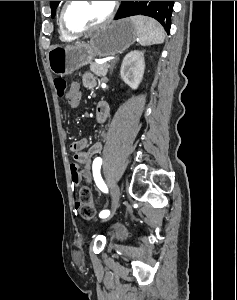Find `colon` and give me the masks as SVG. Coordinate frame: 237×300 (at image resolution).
<instances>
[{"label":"colon","mask_w":237,"mask_h":300,"mask_svg":"<svg viewBox=\"0 0 237 300\" xmlns=\"http://www.w3.org/2000/svg\"><path fill=\"white\" fill-rule=\"evenodd\" d=\"M54 86L58 97L65 98L72 108H76L79 105L81 99L80 92H77L76 94H70L68 90V84L65 79L56 78L54 80ZM72 184L75 187L79 185V178L76 173L72 176ZM78 205L81 216L84 219L89 220L94 217L95 209L92 203V192L87 186H83L80 189Z\"/></svg>","instance_id":"obj_1"}]
</instances>
